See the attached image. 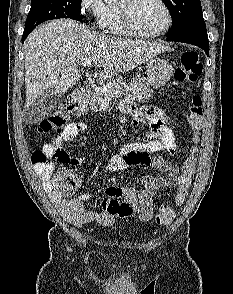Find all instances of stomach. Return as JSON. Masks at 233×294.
Here are the masks:
<instances>
[{
  "mask_svg": "<svg viewBox=\"0 0 233 294\" xmlns=\"http://www.w3.org/2000/svg\"><path fill=\"white\" fill-rule=\"evenodd\" d=\"M147 81L155 87L164 86L172 77L173 67L166 60L151 58L147 62Z\"/></svg>",
  "mask_w": 233,
  "mask_h": 294,
  "instance_id": "stomach-1",
  "label": "stomach"
}]
</instances>
